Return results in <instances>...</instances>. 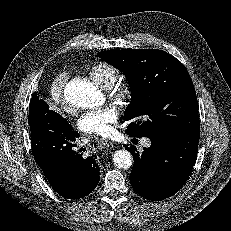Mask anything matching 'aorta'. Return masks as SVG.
Masks as SVG:
<instances>
[{
    "instance_id": "aorta-1",
    "label": "aorta",
    "mask_w": 231,
    "mask_h": 231,
    "mask_svg": "<svg viewBox=\"0 0 231 231\" xmlns=\"http://www.w3.org/2000/svg\"><path fill=\"white\" fill-rule=\"evenodd\" d=\"M65 101L76 108H95L103 103V94L96 86L86 80L75 78L68 82L64 89ZM113 162L119 169H129L133 158L127 150H117L113 155Z\"/></svg>"
}]
</instances>
